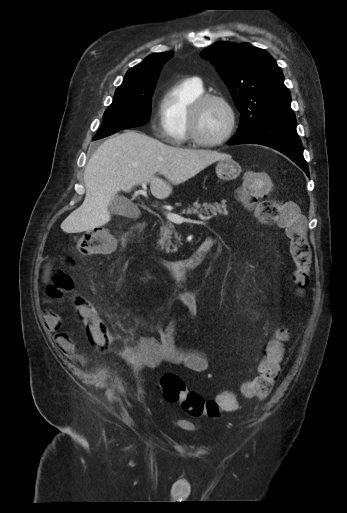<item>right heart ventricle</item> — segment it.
<instances>
[{
	"instance_id": "1",
	"label": "right heart ventricle",
	"mask_w": 347,
	"mask_h": 513,
	"mask_svg": "<svg viewBox=\"0 0 347 513\" xmlns=\"http://www.w3.org/2000/svg\"><path fill=\"white\" fill-rule=\"evenodd\" d=\"M203 93L202 84L192 78L179 80L166 88L160 102V118L162 133L168 142L183 145L189 141L188 110Z\"/></svg>"
}]
</instances>
